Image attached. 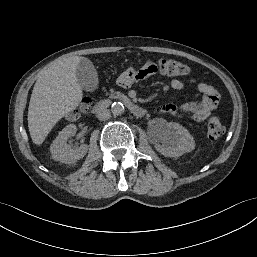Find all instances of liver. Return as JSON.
<instances>
[{"instance_id":"obj_1","label":"liver","mask_w":257,"mask_h":257,"mask_svg":"<svg viewBox=\"0 0 257 257\" xmlns=\"http://www.w3.org/2000/svg\"><path fill=\"white\" fill-rule=\"evenodd\" d=\"M83 58L58 59L38 75L28 108L29 132L36 145H41L55 124L81 102L83 92L76 69Z\"/></svg>"}]
</instances>
